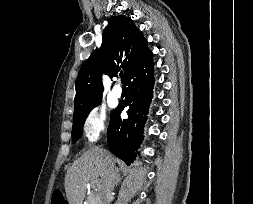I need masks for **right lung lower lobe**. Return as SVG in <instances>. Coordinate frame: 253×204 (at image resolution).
Here are the masks:
<instances>
[{"mask_svg":"<svg viewBox=\"0 0 253 204\" xmlns=\"http://www.w3.org/2000/svg\"><path fill=\"white\" fill-rule=\"evenodd\" d=\"M154 63L152 52L149 51L143 61L131 72L125 81L128 86L129 98L112 111L107 130L110 151L128 165L136 156L143 139V126L147 120L148 106L153 97ZM129 107L128 119H121L120 113Z\"/></svg>","mask_w":253,"mask_h":204,"instance_id":"right-lung-lower-lobe-1","label":"right lung lower lobe"}]
</instances>
